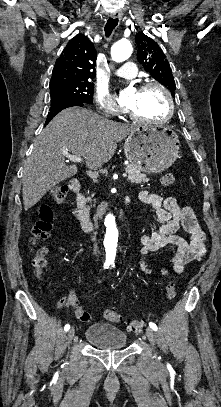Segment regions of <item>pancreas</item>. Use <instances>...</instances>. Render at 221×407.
Here are the masks:
<instances>
[{"label": "pancreas", "instance_id": "cf45deb5", "mask_svg": "<svg viewBox=\"0 0 221 407\" xmlns=\"http://www.w3.org/2000/svg\"><path fill=\"white\" fill-rule=\"evenodd\" d=\"M125 171L128 173V180L131 183H145L149 181V178L143 173H141L139 170H137L135 167L131 165H127L125 168ZM87 201H91L90 198H87Z\"/></svg>", "mask_w": 221, "mask_h": 407}]
</instances>
